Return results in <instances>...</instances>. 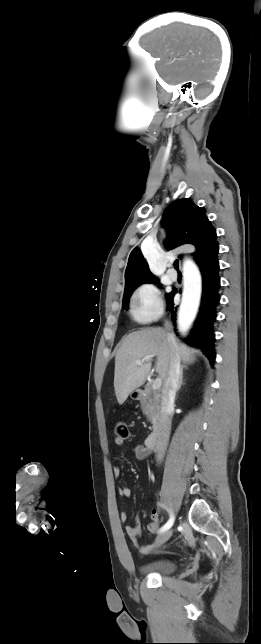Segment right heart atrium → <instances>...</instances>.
I'll return each instance as SVG.
<instances>
[{
    "label": "right heart atrium",
    "instance_id": "1",
    "mask_svg": "<svg viewBox=\"0 0 261 644\" xmlns=\"http://www.w3.org/2000/svg\"><path fill=\"white\" fill-rule=\"evenodd\" d=\"M131 306L133 317L141 323L158 319L164 311L161 293L153 284L138 287L133 293Z\"/></svg>",
    "mask_w": 261,
    "mask_h": 644
}]
</instances>
